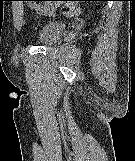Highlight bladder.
Masks as SVG:
<instances>
[{"label": "bladder", "instance_id": "bladder-1", "mask_svg": "<svg viewBox=\"0 0 135 161\" xmlns=\"http://www.w3.org/2000/svg\"><path fill=\"white\" fill-rule=\"evenodd\" d=\"M64 30L65 26L61 21H46L37 30L34 40L42 44L53 43L63 34Z\"/></svg>", "mask_w": 135, "mask_h": 161}]
</instances>
